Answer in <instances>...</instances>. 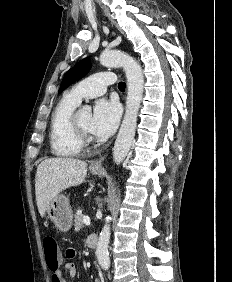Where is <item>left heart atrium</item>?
I'll list each match as a JSON object with an SVG mask.
<instances>
[{"mask_svg":"<svg viewBox=\"0 0 232 282\" xmlns=\"http://www.w3.org/2000/svg\"><path fill=\"white\" fill-rule=\"evenodd\" d=\"M121 116L117 101L100 99L96 102L91 116L90 131L100 137H108L116 130Z\"/></svg>","mask_w":232,"mask_h":282,"instance_id":"1","label":"left heart atrium"}]
</instances>
